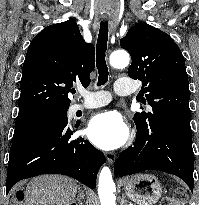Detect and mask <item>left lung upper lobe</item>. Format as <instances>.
I'll list each match as a JSON object with an SVG mask.
<instances>
[{"label": "left lung upper lobe", "instance_id": "left-lung-upper-lobe-1", "mask_svg": "<svg viewBox=\"0 0 199 205\" xmlns=\"http://www.w3.org/2000/svg\"><path fill=\"white\" fill-rule=\"evenodd\" d=\"M132 63L129 77L143 81L152 112L135 113L137 128H147L160 115L191 118L189 82L185 60L174 40L165 32L139 22L120 40Z\"/></svg>", "mask_w": 199, "mask_h": 205}]
</instances>
